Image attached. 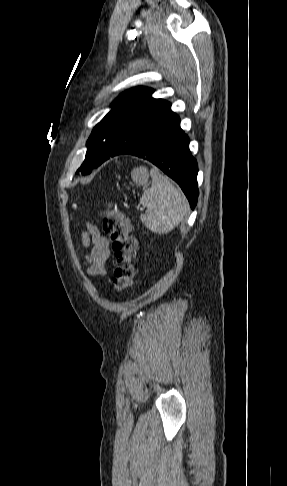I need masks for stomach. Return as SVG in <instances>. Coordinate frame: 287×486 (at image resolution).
<instances>
[{
    "label": "stomach",
    "instance_id": "1",
    "mask_svg": "<svg viewBox=\"0 0 287 486\" xmlns=\"http://www.w3.org/2000/svg\"><path fill=\"white\" fill-rule=\"evenodd\" d=\"M131 178L138 185H145L148 182L149 174L145 167L134 168L131 172Z\"/></svg>",
    "mask_w": 287,
    "mask_h": 486
}]
</instances>
